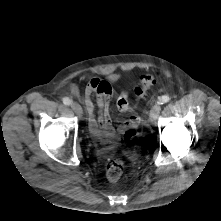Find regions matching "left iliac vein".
<instances>
[{
  "instance_id": "1",
  "label": "left iliac vein",
  "mask_w": 221,
  "mask_h": 221,
  "mask_svg": "<svg viewBox=\"0 0 221 221\" xmlns=\"http://www.w3.org/2000/svg\"><path fill=\"white\" fill-rule=\"evenodd\" d=\"M161 107L159 104L153 105V107L150 110V121L153 122L158 118V115L160 113Z\"/></svg>"
}]
</instances>
